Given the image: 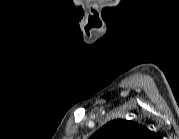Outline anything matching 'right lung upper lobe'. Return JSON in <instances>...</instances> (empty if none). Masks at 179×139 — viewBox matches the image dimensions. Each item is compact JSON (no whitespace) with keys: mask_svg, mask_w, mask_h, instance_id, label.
Segmentation results:
<instances>
[{"mask_svg":"<svg viewBox=\"0 0 179 139\" xmlns=\"http://www.w3.org/2000/svg\"><path fill=\"white\" fill-rule=\"evenodd\" d=\"M152 137L151 131L136 122L116 119L110 121L90 139H149Z\"/></svg>","mask_w":179,"mask_h":139,"instance_id":"right-lung-upper-lobe-1","label":"right lung upper lobe"}]
</instances>
